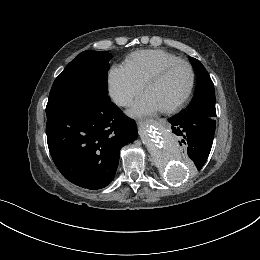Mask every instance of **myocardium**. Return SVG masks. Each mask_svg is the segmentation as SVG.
<instances>
[{
    "instance_id": "f54148a6",
    "label": "myocardium",
    "mask_w": 260,
    "mask_h": 260,
    "mask_svg": "<svg viewBox=\"0 0 260 260\" xmlns=\"http://www.w3.org/2000/svg\"><path fill=\"white\" fill-rule=\"evenodd\" d=\"M179 66H184L189 70L190 83H189L188 89L186 90L185 94L180 99H178L176 102H174L164 108H161L162 111H164V112L175 111L176 109L181 107L191 96V94L194 90V87H195V82H196V74H195V70L192 67V65L190 63H188L186 61H182V60L163 65L162 67L157 69L154 73H152L144 83V90L147 91V89L152 84L156 83L161 78H163L169 71H171L172 69L179 67Z\"/></svg>"
}]
</instances>
